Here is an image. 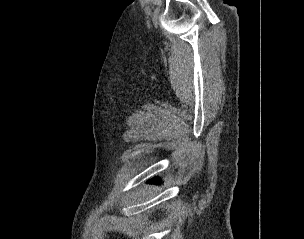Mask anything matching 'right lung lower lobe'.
<instances>
[{"mask_svg":"<svg viewBox=\"0 0 304 239\" xmlns=\"http://www.w3.org/2000/svg\"><path fill=\"white\" fill-rule=\"evenodd\" d=\"M151 182H152V183H154V182H155V183H158L159 180H158L157 178H155V179L151 180Z\"/></svg>","mask_w":304,"mask_h":239,"instance_id":"right-lung-lower-lobe-1","label":"right lung lower lobe"}]
</instances>
